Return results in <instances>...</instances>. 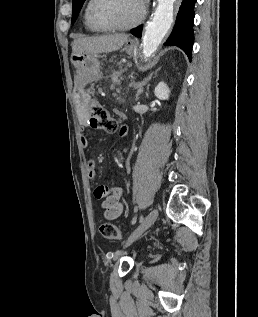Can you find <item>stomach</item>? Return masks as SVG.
I'll return each mask as SVG.
<instances>
[{"instance_id":"0dacf381","label":"stomach","mask_w":258,"mask_h":317,"mask_svg":"<svg viewBox=\"0 0 258 317\" xmlns=\"http://www.w3.org/2000/svg\"><path fill=\"white\" fill-rule=\"evenodd\" d=\"M127 54L136 56L138 54V44L136 40H126L124 46ZM71 60L75 64L79 74L87 72V74H99V62L92 52H86V50H80L72 54Z\"/></svg>"}]
</instances>
